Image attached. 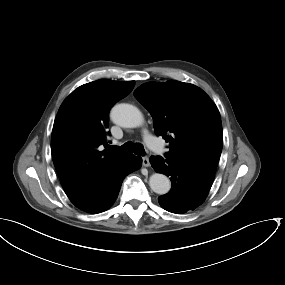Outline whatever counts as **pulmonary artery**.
Here are the masks:
<instances>
[{"label":"pulmonary artery","instance_id":"e3ab8cb5","mask_svg":"<svg viewBox=\"0 0 285 285\" xmlns=\"http://www.w3.org/2000/svg\"><path fill=\"white\" fill-rule=\"evenodd\" d=\"M143 138H144V141L149 146L155 147V145L157 144L155 138L153 136H151V135L143 134Z\"/></svg>","mask_w":285,"mask_h":285}]
</instances>
